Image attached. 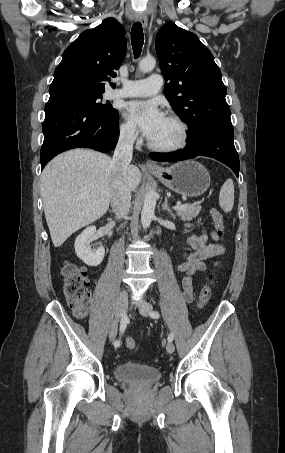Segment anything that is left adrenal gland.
<instances>
[{
	"mask_svg": "<svg viewBox=\"0 0 285 453\" xmlns=\"http://www.w3.org/2000/svg\"><path fill=\"white\" fill-rule=\"evenodd\" d=\"M162 209L164 211H167L173 219L175 218V214L172 212L171 208L168 206L167 198H165V201H164V203L162 205Z\"/></svg>",
	"mask_w": 285,
	"mask_h": 453,
	"instance_id": "left-adrenal-gland-1",
	"label": "left adrenal gland"
}]
</instances>
